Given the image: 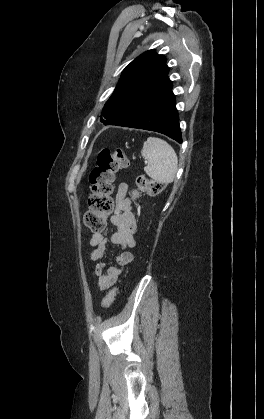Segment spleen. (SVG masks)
<instances>
[{
  "mask_svg": "<svg viewBox=\"0 0 264 419\" xmlns=\"http://www.w3.org/2000/svg\"><path fill=\"white\" fill-rule=\"evenodd\" d=\"M142 156L148 160L145 173L161 183H171L178 169V158L175 150L165 140L148 137L143 144Z\"/></svg>",
  "mask_w": 264,
  "mask_h": 419,
  "instance_id": "spleen-1",
  "label": "spleen"
}]
</instances>
